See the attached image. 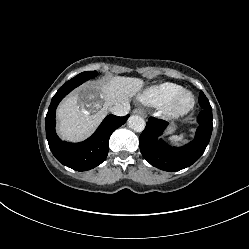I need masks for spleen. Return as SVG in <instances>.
Segmentation results:
<instances>
[{
	"label": "spleen",
	"instance_id": "3e777b00",
	"mask_svg": "<svg viewBox=\"0 0 249 249\" xmlns=\"http://www.w3.org/2000/svg\"><path fill=\"white\" fill-rule=\"evenodd\" d=\"M185 138H186V134L181 133L180 135H173V136L169 137L168 140L174 144H180L186 140Z\"/></svg>",
	"mask_w": 249,
	"mask_h": 249
}]
</instances>
